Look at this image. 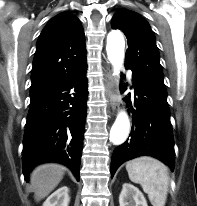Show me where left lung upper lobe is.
<instances>
[{"instance_id": "left-lung-upper-lobe-1", "label": "left lung upper lobe", "mask_w": 197, "mask_h": 206, "mask_svg": "<svg viewBox=\"0 0 197 206\" xmlns=\"http://www.w3.org/2000/svg\"><path fill=\"white\" fill-rule=\"evenodd\" d=\"M112 29H120L128 39L125 67L155 90L167 95L159 51L148 22L138 13L121 9L111 21Z\"/></svg>"}]
</instances>
